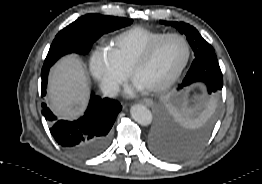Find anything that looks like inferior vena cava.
<instances>
[{
  "label": "inferior vena cava",
  "instance_id": "obj_1",
  "mask_svg": "<svg viewBox=\"0 0 262 184\" xmlns=\"http://www.w3.org/2000/svg\"><path fill=\"white\" fill-rule=\"evenodd\" d=\"M101 90H102V93L104 94V96L114 97L119 92V86L117 84H114V83H108V84H104L101 87Z\"/></svg>",
  "mask_w": 262,
  "mask_h": 184
}]
</instances>
